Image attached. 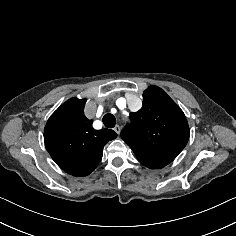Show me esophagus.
<instances>
[{"mask_svg": "<svg viewBox=\"0 0 236 236\" xmlns=\"http://www.w3.org/2000/svg\"><path fill=\"white\" fill-rule=\"evenodd\" d=\"M114 130H115V132H116L117 134H120L121 128H120L119 125H116V126L114 127Z\"/></svg>", "mask_w": 236, "mask_h": 236, "instance_id": "34e87169", "label": "esophagus"}]
</instances>
